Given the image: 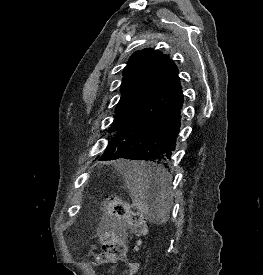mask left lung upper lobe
<instances>
[{
    "label": "left lung upper lobe",
    "mask_w": 263,
    "mask_h": 275,
    "mask_svg": "<svg viewBox=\"0 0 263 275\" xmlns=\"http://www.w3.org/2000/svg\"><path fill=\"white\" fill-rule=\"evenodd\" d=\"M168 55L154 49L134 52L123 71L121 98L109 129L115 133L172 65Z\"/></svg>",
    "instance_id": "5c2ea615"
}]
</instances>
